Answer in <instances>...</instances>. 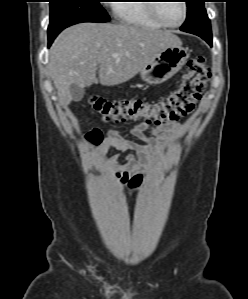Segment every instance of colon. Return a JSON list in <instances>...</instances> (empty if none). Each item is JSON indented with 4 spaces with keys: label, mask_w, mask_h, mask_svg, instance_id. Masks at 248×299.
<instances>
[{
    "label": "colon",
    "mask_w": 248,
    "mask_h": 299,
    "mask_svg": "<svg viewBox=\"0 0 248 299\" xmlns=\"http://www.w3.org/2000/svg\"><path fill=\"white\" fill-rule=\"evenodd\" d=\"M210 77V67L206 64L205 59L199 56L188 62L178 87L158 101H110L93 96L90 98L89 104L105 121L119 123L127 120H144L148 124L155 125L176 122L193 111ZM142 178V173L134 175L130 181L131 186H137Z\"/></svg>",
    "instance_id": "colon-1"
}]
</instances>
